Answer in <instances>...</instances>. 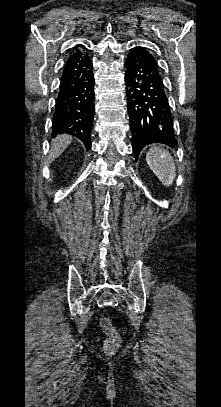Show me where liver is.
Returning a JSON list of instances; mask_svg holds the SVG:
<instances>
[{"label":"liver","instance_id":"liver-1","mask_svg":"<svg viewBox=\"0 0 221 407\" xmlns=\"http://www.w3.org/2000/svg\"><path fill=\"white\" fill-rule=\"evenodd\" d=\"M72 137L67 134L56 136L51 143L47 163L53 162L70 145Z\"/></svg>","mask_w":221,"mask_h":407}]
</instances>
